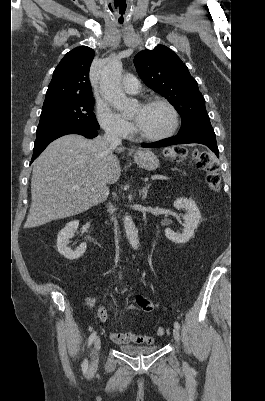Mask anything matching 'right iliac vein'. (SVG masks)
I'll list each match as a JSON object with an SVG mask.
<instances>
[{
  "label": "right iliac vein",
  "instance_id": "obj_1",
  "mask_svg": "<svg viewBox=\"0 0 265 401\" xmlns=\"http://www.w3.org/2000/svg\"><path fill=\"white\" fill-rule=\"evenodd\" d=\"M101 347V339L97 337L94 341L93 351L90 355V362L88 365V371L93 373L98 367V356L97 352L100 350Z\"/></svg>",
  "mask_w": 265,
  "mask_h": 401
}]
</instances>
